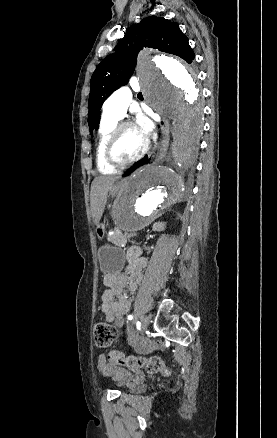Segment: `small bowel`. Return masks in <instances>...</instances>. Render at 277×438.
I'll return each mask as SVG.
<instances>
[{"label":"small bowel","mask_w":277,"mask_h":438,"mask_svg":"<svg viewBox=\"0 0 277 438\" xmlns=\"http://www.w3.org/2000/svg\"><path fill=\"white\" fill-rule=\"evenodd\" d=\"M127 273H109L103 278L105 290L102 293L101 312L108 322L121 328L124 325V316L131 308V300L124 295V291H135L142 280V269L147 260L140 255L137 247H132L127 252ZM97 370L117 382L119 385L131 386L138 383L139 372H126L125 368H115L114 363H107L106 357L99 356L96 364Z\"/></svg>","instance_id":"1"}]
</instances>
